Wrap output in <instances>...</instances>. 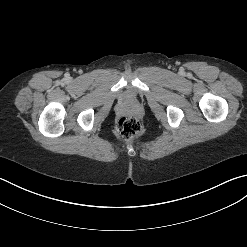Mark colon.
<instances>
[{"label": "colon", "instance_id": "obj_1", "mask_svg": "<svg viewBox=\"0 0 247 247\" xmlns=\"http://www.w3.org/2000/svg\"><path fill=\"white\" fill-rule=\"evenodd\" d=\"M118 134L124 140H131L140 134L142 127L139 120L133 115H125L119 119L116 125Z\"/></svg>", "mask_w": 247, "mask_h": 247}]
</instances>
